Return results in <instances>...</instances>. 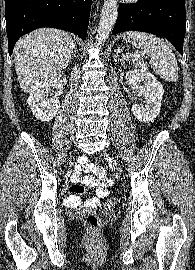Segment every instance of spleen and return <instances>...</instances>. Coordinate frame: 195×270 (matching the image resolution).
<instances>
[{"label":"spleen","instance_id":"3e777b00","mask_svg":"<svg viewBox=\"0 0 195 270\" xmlns=\"http://www.w3.org/2000/svg\"><path fill=\"white\" fill-rule=\"evenodd\" d=\"M127 36L139 42L143 54L150 58V63L157 75L168 82L178 80L176 57L164 40L144 32H129ZM139 66L146 68L147 64L139 60Z\"/></svg>","mask_w":195,"mask_h":270}]
</instances>
